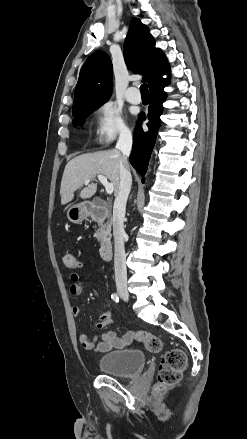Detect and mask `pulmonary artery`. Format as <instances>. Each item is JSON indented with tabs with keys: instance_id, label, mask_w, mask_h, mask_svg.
Listing matches in <instances>:
<instances>
[{
	"instance_id": "pulmonary-artery-1",
	"label": "pulmonary artery",
	"mask_w": 247,
	"mask_h": 439,
	"mask_svg": "<svg viewBox=\"0 0 247 439\" xmlns=\"http://www.w3.org/2000/svg\"><path fill=\"white\" fill-rule=\"evenodd\" d=\"M125 98L132 104L141 103V96L135 87H129L125 92Z\"/></svg>"
}]
</instances>
